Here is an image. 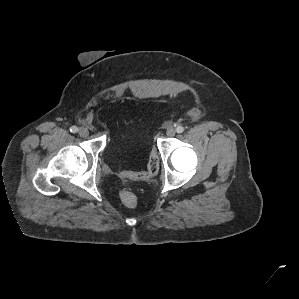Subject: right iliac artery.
I'll list each match as a JSON object with an SVG mask.
<instances>
[{"label":"right iliac artery","instance_id":"82829eb1","mask_svg":"<svg viewBox=\"0 0 299 299\" xmlns=\"http://www.w3.org/2000/svg\"><path fill=\"white\" fill-rule=\"evenodd\" d=\"M70 131H71L72 133H77V132H78V127H76V126H72V127L70 128Z\"/></svg>","mask_w":299,"mask_h":299}]
</instances>
